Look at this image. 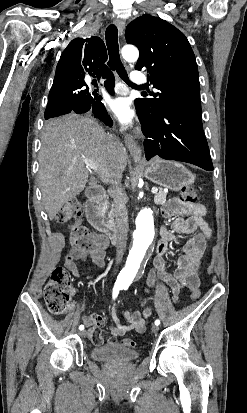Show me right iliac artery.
Masks as SVG:
<instances>
[{
    "label": "right iliac artery",
    "mask_w": 247,
    "mask_h": 413,
    "mask_svg": "<svg viewBox=\"0 0 247 413\" xmlns=\"http://www.w3.org/2000/svg\"><path fill=\"white\" fill-rule=\"evenodd\" d=\"M120 290H122V286L115 284L113 288V294H112L113 299H115L118 296ZM79 330L81 331L84 330V325H80Z\"/></svg>",
    "instance_id": "1"
}]
</instances>
